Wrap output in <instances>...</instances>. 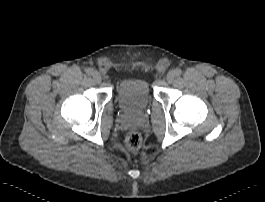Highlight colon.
I'll return each instance as SVG.
<instances>
[{
	"instance_id": "colon-1",
	"label": "colon",
	"mask_w": 265,
	"mask_h": 202,
	"mask_svg": "<svg viewBox=\"0 0 265 202\" xmlns=\"http://www.w3.org/2000/svg\"><path fill=\"white\" fill-rule=\"evenodd\" d=\"M125 144L130 152L138 151L142 145L141 134L136 131L130 132L126 137Z\"/></svg>"
}]
</instances>
